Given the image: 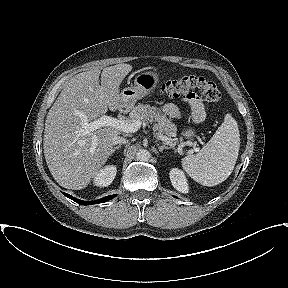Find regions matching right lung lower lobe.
I'll use <instances>...</instances> for the list:
<instances>
[{"label":"right lung lower lobe","instance_id":"right-lung-lower-lobe-1","mask_svg":"<svg viewBox=\"0 0 288 288\" xmlns=\"http://www.w3.org/2000/svg\"><path fill=\"white\" fill-rule=\"evenodd\" d=\"M66 197L70 198L71 200L75 201L76 203L80 204V205H90V204H96V203H103V202H106L108 200H111L112 198L116 197L117 194H114V195H111V196H107V197H104V198H101L99 200H95V201H82V200H79L67 193H63Z\"/></svg>","mask_w":288,"mask_h":288}]
</instances>
